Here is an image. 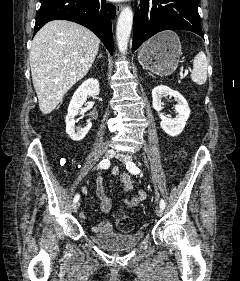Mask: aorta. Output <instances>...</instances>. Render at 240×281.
Returning a JSON list of instances; mask_svg holds the SVG:
<instances>
[{
	"instance_id": "762f6f07",
	"label": "aorta",
	"mask_w": 240,
	"mask_h": 281,
	"mask_svg": "<svg viewBox=\"0 0 240 281\" xmlns=\"http://www.w3.org/2000/svg\"><path fill=\"white\" fill-rule=\"evenodd\" d=\"M133 12L130 7H124L118 17L116 39L120 53H125L132 30Z\"/></svg>"
}]
</instances>
